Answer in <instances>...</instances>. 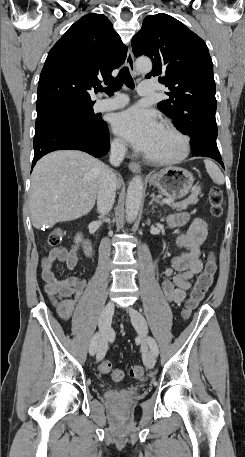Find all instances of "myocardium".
Returning <instances> with one entry per match:
<instances>
[{
    "label": "myocardium",
    "instance_id": "obj_1",
    "mask_svg": "<svg viewBox=\"0 0 245 457\" xmlns=\"http://www.w3.org/2000/svg\"><path fill=\"white\" fill-rule=\"evenodd\" d=\"M162 129L177 139L178 145L176 150L164 154L146 153L145 157L148 160L158 164L173 163L185 158L189 150V141L187 137L170 123H164L162 125Z\"/></svg>",
    "mask_w": 245,
    "mask_h": 457
}]
</instances>
